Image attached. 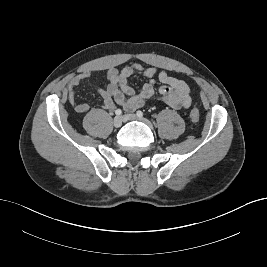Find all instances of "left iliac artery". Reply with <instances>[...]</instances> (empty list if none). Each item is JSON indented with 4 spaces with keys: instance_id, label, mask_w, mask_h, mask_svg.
<instances>
[{
    "instance_id": "44dca946",
    "label": "left iliac artery",
    "mask_w": 267,
    "mask_h": 267,
    "mask_svg": "<svg viewBox=\"0 0 267 267\" xmlns=\"http://www.w3.org/2000/svg\"><path fill=\"white\" fill-rule=\"evenodd\" d=\"M137 116H138V117H143V112H142V111H140V110H139V111H137Z\"/></svg>"
}]
</instances>
